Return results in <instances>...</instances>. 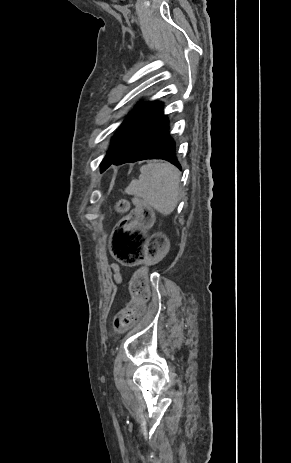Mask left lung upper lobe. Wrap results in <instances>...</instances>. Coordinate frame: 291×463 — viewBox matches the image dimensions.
<instances>
[{
    "mask_svg": "<svg viewBox=\"0 0 291 463\" xmlns=\"http://www.w3.org/2000/svg\"><path fill=\"white\" fill-rule=\"evenodd\" d=\"M162 107L161 102L145 103L131 112L112 138L113 148L103 161L121 158L137 147L165 119Z\"/></svg>",
    "mask_w": 291,
    "mask_h": 463,
    "instance_id": "1",
    "label": "left lung upper lobe"
}]
</instances>
